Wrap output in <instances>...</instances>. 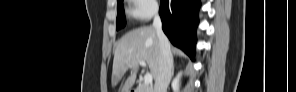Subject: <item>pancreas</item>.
I'll list each match as a JSON object with an SVG mask.
<instances>
[{
	"label": "pancreas",
	"instance_id": "1",
	"mask_svg": "<svg viewBox=\"0 0 296 92\" xmlns=\"http://www.w3.org/2000/svg\"><path fill=\"white\" fill-rule=\"evenodd\" d=\"M137 92H151V90L146 85L142 84L138 87Z\"/></svg>",
	"mask_w": 296,
	"mask_h": 92
}]
</instances>
